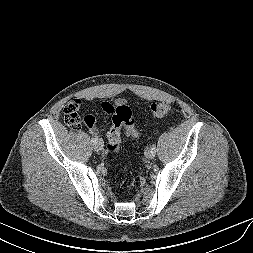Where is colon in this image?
Instances as JSON below:
<instances>
[{"mask_svg":"<svg viewBox=\"0 0 253 253\" xmlns=\"http://www.w3.org/2000/svg\"><path fill=\"white\" fill-rule=\"evenodd\" d=\"M104 108L111 112V127L107 134V150L117 153L120 149L121 129L123 128L128 136L139 138L140 131L135 125L131 109L125 103H119L109 107L104 103ZM171 108L167 103L158 102L151 105V113L156 118H162L169 114ZM64 119L71 128H78L82 124L91 127L95 124L94 116L82 114L80 102L70 101L64 107Z\"/></svg>","mask_w":253,"mask_h":253,"instance_id":"colon-1","label":"colon"}]
</instances>
